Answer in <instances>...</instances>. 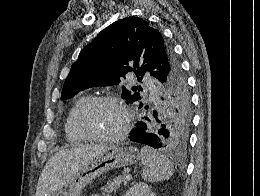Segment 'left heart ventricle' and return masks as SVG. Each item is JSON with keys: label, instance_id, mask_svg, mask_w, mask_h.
<instances>
[{"label": "left heart ventricle", "instance_id": "1", "mask_svg": "<svg viewBox=\"0 0 260 196\" xmlns=\"http://www.w3.org/2000/svg\"><path fill=\"white\" fill-rule=\"evenodd\" d=\"M120 108L110 103H100L91 108L84 116L85 128L95 135L115 133L123 125Z\"/></svg>", "mask_w": 260, "mask_h": 196}]
</instances>
